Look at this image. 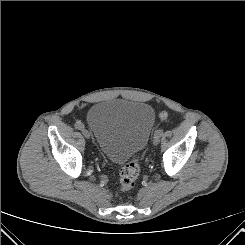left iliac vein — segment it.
Instances as JSON below:
<instances>
[{
    "label": "left iliac vein",
    "mask_w": 245,
    "mask_h": 245,
    "mask_svg": "<svg viewBox=\"0 0 245 245\" xmlns=\"http://www.w3.org/2000/svg\"><path fill=\"white\" fill-rule=\"evenodd\" d=\"M160 142V136L158 135H155L154 138H153V145H158Z\"/></svg>",
    "instance_id": "4c4485c4"
}]
</instances>
